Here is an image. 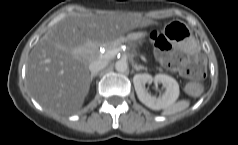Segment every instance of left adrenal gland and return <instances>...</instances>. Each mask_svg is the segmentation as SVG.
<instances>
[{
  "instance_id": "left-adrenal-gland-1",
  "label": "left adrenal gland",
  "mask_w": 238,
  "mask_h": 145,
  "mask_svg": "<svg viewBox=\"0 0 238 145\" xmlns=\"http://www.w3.org/2000/svg\"><path fill=\"white\" fill-rule=\"evenodd\" d=\"M133 67H134V69H135L136 71H139V70H147L146 67L141 66V65H137V64H134Z\"/></svg>"
}]
</instances>
